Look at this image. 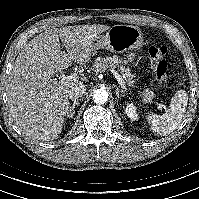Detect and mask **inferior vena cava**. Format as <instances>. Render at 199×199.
Segmentation results:
<instances>
[{
    "label": "inferior vena cava",
    "instance_id": "1",
    "mask_svg": "<svg viewBox=\"0 0 199 199\" xmlns=\"http://www.w3.org/2000/svg\"><path fill=\"white\" fill-rule=\"evenodd\" d=\"M86 94L87 92H86L85 85L80 83L79 85L72 87L68 95L72 101H78V100L83 99Z\"/></svg>",
    "mask_w": 199,
    "mask_h": 199
}]
</instances>
